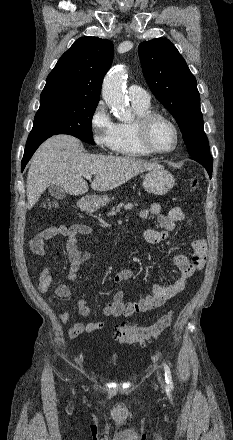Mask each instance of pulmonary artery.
<instances>
[{
    "label": "pulmonary artery",
    "mask_w": 233,
    "mask_h": 440,
    "mask_svg": "<svg viewBox=\"0 0 233 440\" xmlns=\"http://www.w3.org/2000/svg\"><path fill=\"white\" fill-rule=\"evenodd\" d=\"M128 95L132 103L149 104V94L138 85H131L128 89Z\"/></svg>",
    "instance_id": "obj_1"
}]
</instances>
